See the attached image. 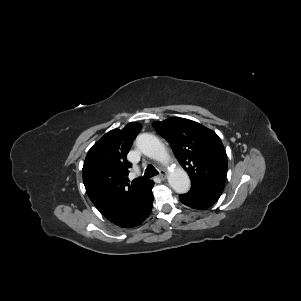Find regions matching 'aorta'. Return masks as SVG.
<instances>
[{"mask_svg": "<svg viewBox=\"0 0 301 301\" xmlns=\"http://www.w3.org/2000/svg\"><path fill=\"white\" fill-rule=\"evenodd\" d=\"M136 145L147 157L163 164L169 163L170 157L156 136L149 133L140 134L136 138ZM168 182L173 190L179 194L187 193L190 189L189 176L181 167H176L169 172Z\"/></svg>", "mask_w": 301, "mask_h": 301, "instance_id": "1", "label": "aorta"}]
</instances>
